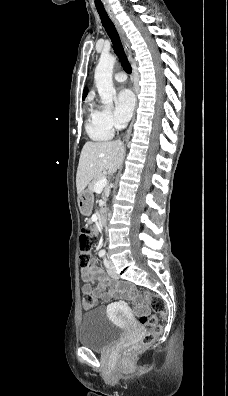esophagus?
<instances>
[{
	"instance_id": "34e87169",
	"label": "esophagus",
	"mask_w": 228,
	"mask_h": 396,
	"mask_svg": "<svg viewBox=\"0 0 228 396\" xmlns=\"http://www.w3.org/2000/svg\"><path fill=\"white\" fill-rule=\"evenodd\" d=\"M106 11H107L110 19L112 20V22L114 23V25H115V27H116V29L118 31V34L120 36V39L122 41V44H123V47H124V50H125V52L127 54L128 59L130 61H132V51H131V48H130V45H129L128 41L125 38V34H124V31H123L120 23L116 19L115 14L113 13V11H112V9L110 7H106ZM135 92L137 94L136 88H135ZM137 106H138V100L136 98L135 111H134V114H133L132 121H131V123H130V125L128 127V130H127V136H129L131 134L132 127H133V124H134L135 118H136V108H137Z\"/></svg>"
}]
</instances>
